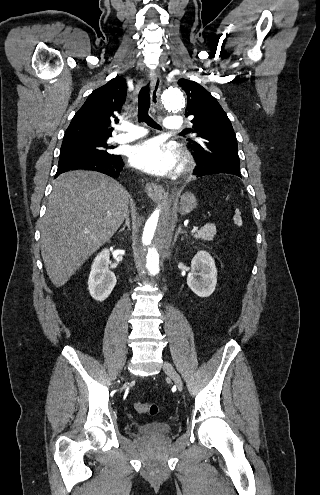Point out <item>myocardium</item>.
I'll list each match as a JSON object with an SVG mask.
<instances>
[{
	"mask_svg": "<svg viewBox=\"0 0 320 495\" xmlns=\"http://www.w3.org/2000/svg\"><path fill=\"white\" fill-rule=\"evenodd\" d=\"M188 166H189L188 159L186 158V156L181 155L179 170H181V171L186 170L188 168Z\"/></svg>",
	"mask_w": 320,
	"mask_h": 495,
	"instance_id": "obj_1",
	"label": "myocardium"
}]
</instances>
